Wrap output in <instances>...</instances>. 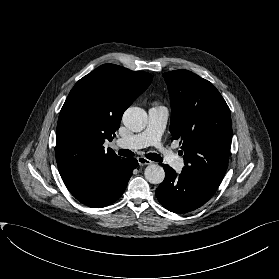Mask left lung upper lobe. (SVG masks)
Here are the masks:
<instances>
[{
  "mask_svg": "<svg viewBox=\"0 0 279 279\" xmlns=\"http://www.w3.org/2000/svg\"><path fill=\"white\" fill-rule=\"evenodd\" d=\"M171 101L172 139H180L182 173L218 188L228 167L230 109L219 91L188 70L163 74Z\"/></svg>",
  "mask_w": 279,
  "mask_h": 279,
  "instance_id": "5c2ea615",
  "label": "left lung upper lobe"
}]
</instances>
